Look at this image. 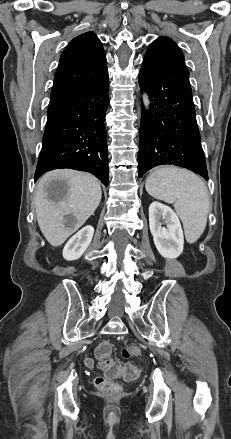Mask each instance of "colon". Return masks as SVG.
I'll return each instance as SVG.
<instances>
[{"label":"colon","instance_id":"colon-1","mask_svg":"<svg viewBox=\"0 0 231 439\" xmlns=\"http://www.w3.org/2000/svg\"><path fill=\"white\" fill-rule=\"evenodd\" d=\"M112 348L107 342L101 343L96 349V357L103 375L94 378L95 386L104 392H117L120 386L115 379L122 377L126 381L135 380L139 375V368L134 364L122 365L111 357ZM141 350L137 346H129L122 350L124 358L138 357Z\"/></svg>","mask_w":231,"mask_h":439}]
</instances>
